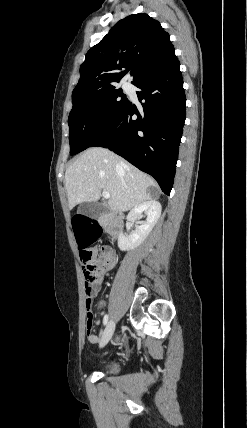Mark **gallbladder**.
Here are the masks:
<instances>
[{"label":"gallbladder","instance_id":"bac80fb5","mask_svg":"<svg viewBox=\"0 0 247 428\" xmlns=\"http://www.w3.org/2000/svg\"><path fill=\"white\" fill-rule=\"evenodd\" d=\"M107 209V205L96 202H83L79 205L77 213L89 218H98Z\"/></svg>","mask_w":247,"mask_h":428}]
</instances>
